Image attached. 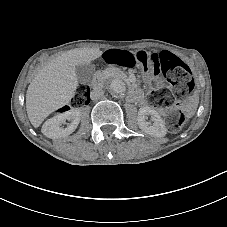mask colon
Here are the masks:
<instances>
[{
  "mask_svg": "<svg viewBox=\"0 0 227 227\" xmlns=\"http://www.w3.org/2000/svg\"><path fill=\"white\" fill-rule=\"evenodd\" d=\"M107 63L122 66L131 70H153L158 74L162 71L172 85V90L157 88L151 96V103L156 108H170L187 99L194 88L191 70L181 59L167 51H161L158 57H149L128 51L110 50L102 55ZM90 88L80 85L70 101L73 108L83 107L89 102ZM184 120L180 110L172 111L166 117L169 130L176 131Z\"/></svg>",
  "mask_w": 227,
  "mask_h": 227,
  "instance_id": "1",
  "label": "colon"
}]
</instances>
